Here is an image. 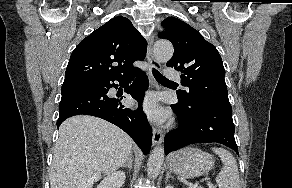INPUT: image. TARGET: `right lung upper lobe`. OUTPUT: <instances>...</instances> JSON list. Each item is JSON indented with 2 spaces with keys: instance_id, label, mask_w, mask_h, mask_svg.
<instances>
[{
  "instance_id": "cb5924a9",
  "label": "right lung upper lobe",
  "mask_w": 292,
  "mask_h": 188,
  "mask_svg": "<svg viewBox=\"0 0 292 188\" xmlns=\"http://www.w3.org/2000/svg\"><path fill=\"white\" fill-rule=\"evenodd\" d=\"M147 43L131 21L117 16L84 38L71 54L65 80L124 78L139 69Z\"/></svg>"
}]
</instances>
